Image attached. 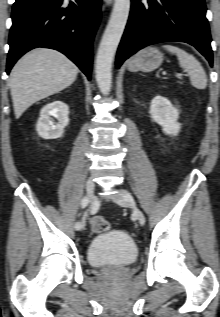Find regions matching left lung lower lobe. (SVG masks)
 Instances as JSON below:
<instances>
[{"label":"left lung lower lobe","instance_id":"left-lung-lower-lobe-1","mask_svg":"<svg viewBox=\"0 0 220 317\" xmlns=\"http://www.w3.org/2000/svg\"><path fill=\"white\" fill-rule=\"evenodd\" d=\"M204 0H132L116 67L143 47L163 41L195 46L213 64Z\"/></svg>","mask_w":220,"mask_h":317}]
</instances>
